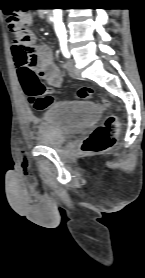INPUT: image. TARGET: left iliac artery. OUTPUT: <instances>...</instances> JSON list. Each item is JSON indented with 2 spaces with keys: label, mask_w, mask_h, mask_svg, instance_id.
Here are the masks:
<instances>
[{
  "label": "left iliac artery",
  "mask_w": 145,
  "mask_h": 278,
  "mask_svg": "<svg viewBox=\"0 0 145 278\" xmlns=\"http://www.w3.org/2000/svg\"><path fill=\"white\" fill-rule=\"evenodd\" d=\"M60 47H61V51H62L63 55L66 58H69L70 54L67 49V38L65 36L60 37Z\"/></svg>",
  "instance_id": "obj_1"
}]
</instances>
